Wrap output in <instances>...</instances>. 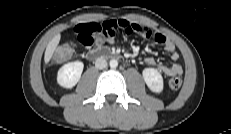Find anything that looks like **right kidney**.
<instances>
[{"instance_id":"right-kidney-1","label":"right kidney","mask_w":231,"mask_h":134,"mask_svg":"<svg viewBox=\"0 0 231 134\" xmlns=\"http://www.w3.org/2000/svg\"><path fill=\"white\" fill-rule=\"evenodd\" d=\"M84 64L81 61H74L63 65L57 74V82L64 88L74 87L82 74Z\"/></svg>"}]
</instances>
